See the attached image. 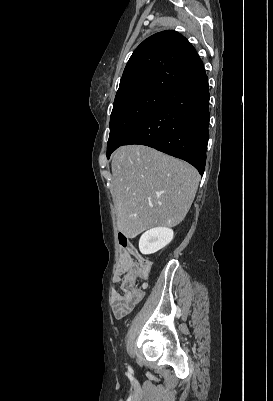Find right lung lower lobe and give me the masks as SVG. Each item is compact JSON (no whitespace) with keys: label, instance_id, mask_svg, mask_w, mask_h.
Listing matches in <instances>:
<instances>
[{"label":"right lung lower lobe","instance_id":"obj_1","mask_svg":"<svg viewBox=\"0 0 273 401\" xmlns=\"http://www.w3.org/2000/svg\"><path fill=\"white\" fill-rule=\"evenodd\" d=\"M209 119L208 77L204 71L167 93L122 145L150 146L189 162L203 174Z\"/></svg>","mask_w":273,"mask_h":401}]
</instances>
